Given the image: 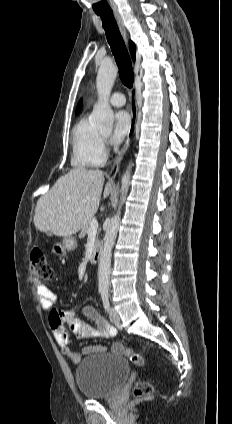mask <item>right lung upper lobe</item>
<instances>
[{
	"mask_svg": "<svg viewBox=\"0 0 232 424\" xmlns=\"http://www.w3.org/2000/svg\"><path fill=\"white\" fill-rule=\"evenodd\" d=\"M129 47H130V51H131V54H132V58H133V60H135V44L132 41H130ZM81 107H82V100H80L79 103H78V106H77V109H76V114L80 111Z\"/></svg>",
	"mask_w": 232,
	"mask_h": 424,
	"instance_id": "cb5924a9",
	"label": "right lung upper lobe"
}]
</instances>
